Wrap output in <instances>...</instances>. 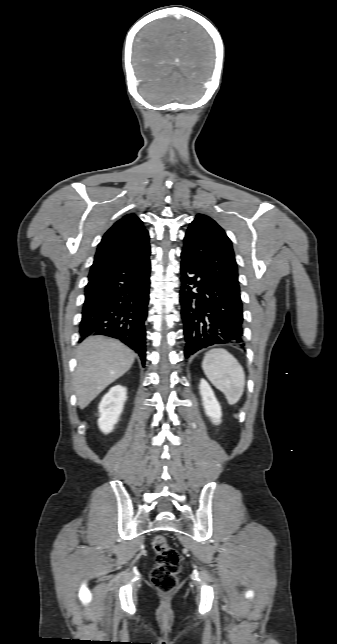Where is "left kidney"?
Segmentation results:
<instances>
[{"mask_svg":"<svg viewBox=\"0 0 337 644\" xmlns=\"http://www.w3.org/2000/svg\"><path fill=\"white\" fill-rule=\"evenodd\" d=\"M199 389L206 415L210 417L214 424H219L222 416L221 406L216 399L211 386L206 380L201 379Z\"/></svg>","mask_w":337,"mask_h":644,"instance_id":"1","label":"left kidney"}]
</instances>
